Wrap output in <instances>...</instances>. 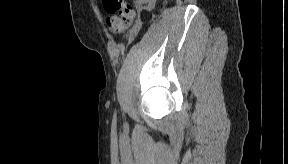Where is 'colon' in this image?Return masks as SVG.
<instances>
[{"instance_id":"obj_1","label":"colon","mask_w":288,"mask_h":164,"mask_svg":"<svg viewBox=\"0 0 288 164\" xmlns=\"http://www.w3.org/2000/svg\"><path fill=\"white\" fill-rule=\"evenodd\" d=\"M107 10L113 15L106 19V25L114 34L123 33L133 22L136 15L134 6L125 0H106Z\"/></svg>"}]
</instances>
